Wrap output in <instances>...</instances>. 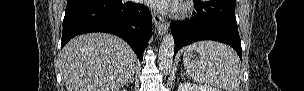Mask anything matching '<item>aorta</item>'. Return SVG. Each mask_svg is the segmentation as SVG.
Wrapping results in <instances>:
<instances>
[{
    "mask_svg": "<svg viewBox=\"0 0 304 91\" xmlns=\"http://www.w3.org/2000/svg\"><path fill=\"white\" fill-rule=\"evenodd\" d=\"M174 49H175V41L173 35L166 34L163 37L158 55L159 69L163 74H168L171 71Z\"/></svg>",
    "mask_w": 304,
    "mask_h": 91,
    "instance_id": "obj_1",
    "label": "aorta"
}]
</instances>
